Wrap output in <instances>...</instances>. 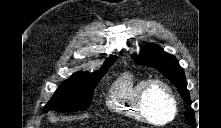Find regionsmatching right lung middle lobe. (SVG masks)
Instances as JSON below:
<instances>
[{
	"instance_id": "obj_1",
	"label": "right lung middle lobe",
	"mask_w": 221,
	"mask_h": 128,
	"mask_svg": "<svg viewBox=\"0 0 221 128\" xmlns=\"http://www.w3.org/2000/svg\"><path fill=\"white\" fill-rule=\"evenodd\" d=\"M116 59L117 57L113 56L106 60L98 72L78 73L71 76L60 85L49 103L44 106L43 111L74 112L87 109L90 106L94 88Z\"/></svg>"
}]
</instances>
